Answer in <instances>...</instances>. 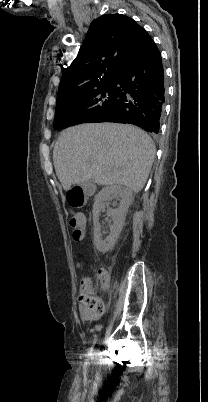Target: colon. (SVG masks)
I'll use <instances>...</instances> for the list:
<instances>
[{
  "mask_svg": "<svg viewBox=\"0 0 208 402\" xmlns=\"http://www.w3.org/2000/svg\"><path fill=\"white\" fill-rule=\"evenodd\" d=\"M69 225L72 229L71 236L74 240H82L84 237V221L81 214L77 213L69 218ZM98 278L84 277L79 284L78 293L79 314H104V305L102 299H97ZM104 282V281H103Z\"/></svg>",
  "mask_w": 208,
  "mask_h": 402,
  "instance_id": "colon-1",
  "label": "colon"
}]
</instances>
